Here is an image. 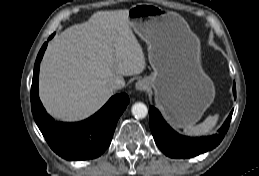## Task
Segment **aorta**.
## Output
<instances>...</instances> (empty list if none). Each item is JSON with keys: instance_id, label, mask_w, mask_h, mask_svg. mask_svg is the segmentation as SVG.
<instances>
[{"instance_id": "1", "label": "aorta", "mask_w": 259, "mask_h": 176, "mask_svg": "<svg viewBox=\"0 0 259 176\" xmlns=\"http://www.w3.org/2000/svg\"><path fill=\"white\" fill-rule=\"evenodd\" d=\"M132 114L137 119L145 118L148 114V108L144 103L137 102L132 106Z\"/></svg>"}]
</instances>
